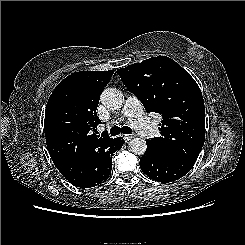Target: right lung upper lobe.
<instances>
[{"mask_svg":"<svg viewBox=\"0 0 245 245\" xmlns=\"http://www.w3.org/2000/svg\"><path fill=\"white\" fill-rule=\"evenodd\" d=\"M114 70L81 71L62 80L49 97L44 129L49 154L56 165H71L86 176L91 151L112 139L97 135L100 94Z\"/></svg>","mask_w":245,"mask_h":245,"instance_id":"obj_1","label":"right lung upper lobe"}]
</instances>
